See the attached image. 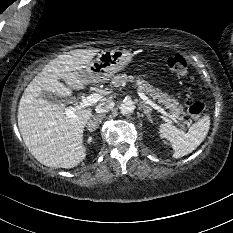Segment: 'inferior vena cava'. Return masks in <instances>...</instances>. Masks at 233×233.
Instances as JSON below:
<instances>
[{
	"label": "inferior vena cava",
	"mask_w": 233,
	"mask_h": 233,
	"mask_svg": "<svg viewBox=\"0 0 233 233\" xmlns=\"http://www.w3.org/2000/svg\"><path fill=\"white\" fill-rule=\"evenodd\" d=\"M114 107V102L111 99H105L101 101L97 106L95 111L97 113H107Z\"/></svg>",
	"instance_id": "inferior-vena-cava-1"
}]
</instances>
